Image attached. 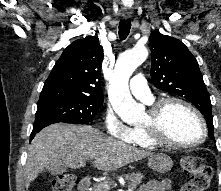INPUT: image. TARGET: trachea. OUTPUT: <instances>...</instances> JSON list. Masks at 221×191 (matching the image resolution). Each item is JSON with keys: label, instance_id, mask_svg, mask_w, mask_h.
I'll list each match as a JSON object with an SVG mask.
<instances>
[{"label": "trachea", "instance_id": "trachea-1", "mask_svg": "<svg viewBox=\"0 0 221 191\" xmlns=\"http://www.w3.org/2000/svg\"><path fill=\"white\" fill-rule=\"evenodd\" d=\"M131 29V22L126 20H120L119 22V37L121 40H124L127 38V36L130 33Z\"/></svg>", "mask_w": 221, "mask_h": 191}]
</instances>
